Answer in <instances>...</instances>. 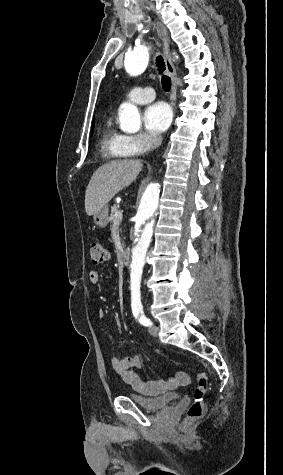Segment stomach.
Segmentation results:
<instances>
[{
  "label": "stomach",
  "mask_w": 283,
  "mask_h": 475,
  "mask_svg": "<svg viewBox=\"0 0 283 475\" xmlns=\"http://www.w3.org/2000/svg\"><path fill=\"white\" fill-rule=\"evenodd\" d=\"M108 216H109V208L108 206H103L97 214H94L93 220L96 226H100V228H105L108 224Z\"/></svg>",
  "instance_id": "1"
}]
</instances>
